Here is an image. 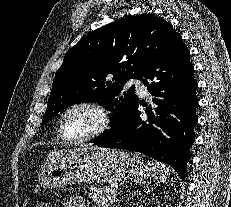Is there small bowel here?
<instances>
[{
  "instance_id": "obj_1",
  "label": "small bowel",
  "mask_w": 231,
  "mask_h": 207,
  "mask_svg": "<svg viewBox=\"0 0 231 207\" xmlns=\"http://www.w3.org/2000/svg\"><path fill=\"white\" fill-rule=\"evenodd\" d=\"M63 207H88L85 200L81 196H73L66 202H64Z\"/></svg>"
}]
</instances>
